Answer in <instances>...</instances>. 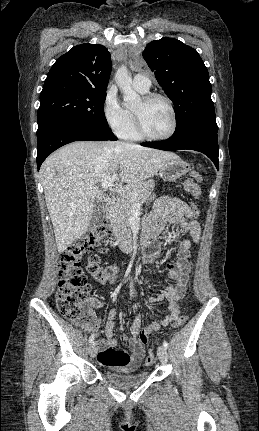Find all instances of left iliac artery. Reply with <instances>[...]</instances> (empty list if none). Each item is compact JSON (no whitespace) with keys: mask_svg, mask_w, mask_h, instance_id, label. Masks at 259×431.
<instances>
[{"mask_svg":"<svg viewBox=\"0 0 259 431\" xmlns=\"http://www.w3.org/2000/svg\"><path fill=\"white\" fill-rule=\"evenodd\" d=\"M163 345H164V347H165L166 349L169 347V344H168V342H167L166 340H164V341H163Z\"/></svg>","mask_w":259,"mask_h":431,"instance_id":"44dca946","label":"left iliac artery"}]
</instances>
